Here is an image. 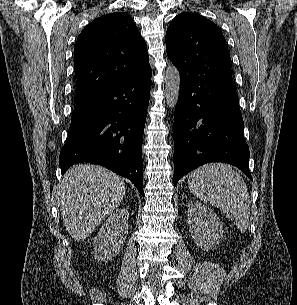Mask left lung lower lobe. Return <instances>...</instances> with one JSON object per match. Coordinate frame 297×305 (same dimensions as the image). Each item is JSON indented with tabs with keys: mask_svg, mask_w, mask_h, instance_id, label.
<instances>
[{
	"mask_svg": "<svg viewBox=\"0 0 297 305\" xmlns=\"http://www.w3.org/2000/svg\"><path fill=\"white\" fill-rule=\"evenodd\" d=\"M181 87L174 115V177L210 162L236 166L251 180L249 147L231 76H194L179 70Z\"/></svg>",
	"mask_w": 297,
	"mask_h": 305,
	"instance_id": "1",
	"label": "left lung lower lobe"
}]
</instances>
